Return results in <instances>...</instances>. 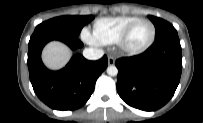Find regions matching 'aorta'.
<instances>
[{"label":"aorta","instance_id":"aorta-1","mask_svg":"<svg viewBox=\"0 0 203 123\" xmlns=\"http://www.w3.org/2000/svg\"><path fill=\"white\" fill-rule=\"evenodd\" d=\"M107 74L110 76H116L118 74V69L114 65H110L107 67Z\"/></svg>","mask_w":203,"mask_h":123}]
</instances>
